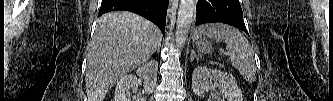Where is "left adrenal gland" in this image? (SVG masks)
Wrapping results in <instances>:
<instances>
[{
  "mask_svg": "<svg viewBox=\"0 0 333 101\" xmlns=\"http://www.w3.org/2000/svg\"><path fill=\"white\" fill-rule=\"evenodd\" d=\"M194 59H196L197 61H199V58H198L197 55L195 54V51L192 49V50H191V59H190V62H193Z\"/></svg>",
  "mask_w": 333,
  "mask_h": 101,
  "instance_id": "1",
  "label": "left adrenal gland"
}]
</instances>
